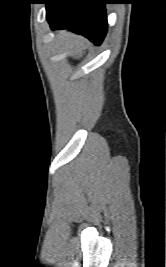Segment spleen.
I'll use <instances>...</instances> for the list:
<instances>
[{
  "label": "spleen",
  "mask_w": 166,
  "mask_h": 267,
  "mask_svg": "<svg viewBox=\"0 0 166 267\" xmlns=\"http://www.w3.org/2000/svg\"><path fill=\"white\" fill-rule=\"evenodd\" d=\"M60 38L66 42L67 48L75 53L76 58L82 57L84 50L87 47V42L85 39L69 35H62Z\"/></svg>",
  "instance_id": "1"
}]
</instances>
